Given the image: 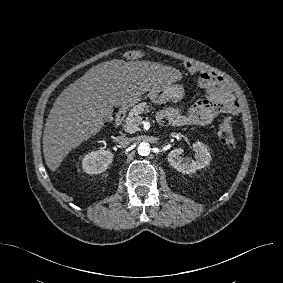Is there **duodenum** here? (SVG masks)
<instances>
[{"instance_id": "1", "label": "duodenum", "mask_w": 283, "mask_h": 283, "mask_svg": "<svg viewBox=\"0 0 283 283\" xmlns=\"http://www.w3.org/2000/svg\"><path fill=\"white\" fill-rule=\"evenodd\" d=\"M126 114V108L125 107H121L115 114L114 116V122L115 124H120L122 122V120L124 119Z\"/></svg>"}]
</instances>
